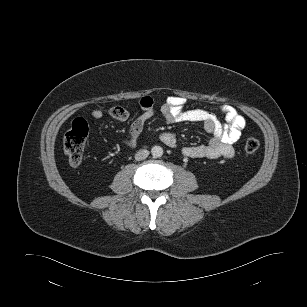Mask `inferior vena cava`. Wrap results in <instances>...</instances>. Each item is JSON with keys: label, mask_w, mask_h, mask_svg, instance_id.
Returning a JSON list of instances; mask_svg holds the SVG:
<instances>
[{"label": "inferior vena cava", "mask_w": 307, "mask_h": 307, "mask_svg": "<svg viewBox=\"0 0 307 307\" xmlns=\"http://www.w3.org/2000/svg\"><path fill=\"white\" fill-rule=\"evenodd\" d=\"M149 155V151L146 150V149H142V150H139L136 154H135V159L137 161H140V160H144L148 157Z\"/></svg>", "instance_id": "602c4592"}]
</instances>
